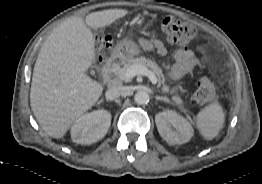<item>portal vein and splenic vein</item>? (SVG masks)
Listing matches in <instances>:
<instances>
[{
  "label": "portal vein and splenic vein",
  "instance_id": "portal-vein-and-splenic-vein-1",
  "mask_svg": "<svg viewBox=\"0 0 262 184\" xmlns=\"http://www.w3.org/2000/svg\"><path fill=\"white\" fill-rule=\"evenodd\" d=\"M137 75H145L147 76L152 84L157 83V78L153 74L152 71H150L148 68L142 66V65H133L130 68L127 69L126 73L124 74V77L127 79L133 78Z\"/></svg>",
  "mask_w": 262,
  "mask_h": 184
}]
</instances>
